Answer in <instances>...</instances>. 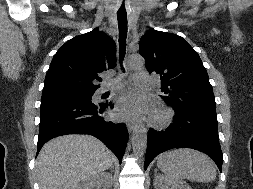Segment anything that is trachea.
<instances>
[{
	"mask_svg": "<svg viewBox=\"0 0 253 189\" xmlns=\"http://www.w3.org/2000/svg\"><path fill=\"white\" fill-rule=\"evenodd\" d=\"M118 27H119V58L120 62L124 59L125 56V46H126V37H127V15L126 14H117Z\"/></svg>",
	"mask_w": 253,
	"mask_h": 189,
	"instance_id": "trachea-1",
	"label": "trachea"
}]
</instances>
